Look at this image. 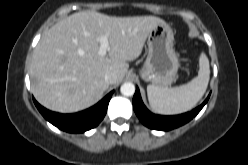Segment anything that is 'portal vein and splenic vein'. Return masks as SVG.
I'll return each instance as SVG.
<instances>
[{
  "label": "portal vein and splenic vein",
  "mask_w": 248,
  "mask_h": 165,
  "mask_svg": "<svg viewBox=\"0 0 248 165\" xmlns=\"http://www.w3.org/2000/svg\"><path fill=\"white\" fill-rule=\"evenodd\" d=\"M98 41L100 43V48L98 53L101 56H105L107 51L109 50L108 36L102 35L98 38Z\"/></svg>",
  "instance_id": "18ae733b"
}]
</instances>
